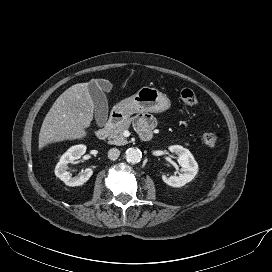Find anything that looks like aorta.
<instances>
[{"label": "aorta", "instance_id": "obj_1", "mask_svg": "<svg viewBox=\"0 0 272 272\" xmlns=\"http://www.w3.org/2000/svg\"><path fill=\"white\" fill-rule=\"evenodd\" d=\"M126 160L129 163L136 164L141 161L142 153L139 149L128 148L125 152Z\"/></svg>", "mask_w": 272, "mask_h": 272}]
</instances>
